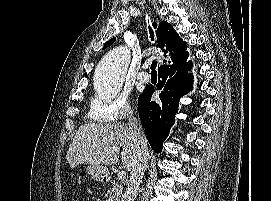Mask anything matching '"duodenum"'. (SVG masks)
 Listing matches in <instances>:
<instances>
[{
	"label": "duodenum",
	"instance_id": "410a0bca",
	"mask_svg": "<svg viewBox=\"0 0 271 201\" xmlns=\"http://www.w3.org/2000/svg\"><path fill=\"white\" fill-rule=\"evenodd\" d=\"M104 180H105V181H108V176H107V175L104 176Z\"/></svg>",
	"mask_w": 271,
	"mask_h": 201
}]
</instances>
